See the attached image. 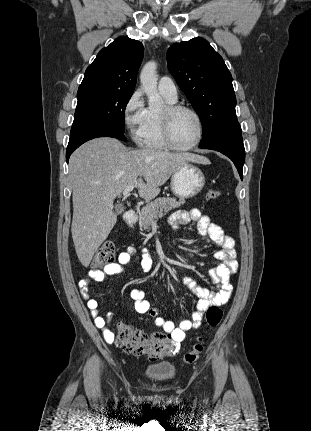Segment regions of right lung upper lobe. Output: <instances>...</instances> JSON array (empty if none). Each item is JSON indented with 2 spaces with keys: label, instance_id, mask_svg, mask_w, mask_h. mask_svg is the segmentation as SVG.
Returning <instances> with one entry per match:
<instances>
[{
  "label": "right lung upper lobe",
  "instance_id": "cb5924a9",
  "mask_svg": "<svg viewBox=\"0 0 311 431\" xmlns=\"http://www.w3.org/2000/svg\"><path fill=\"white\" fill-rule=\"evenodd\" d=\"M143 52L141 42L125 36L117 38L88 66L78 91L101 89L133 93Z\"/></svg>",
  "mask_w": 311,
  "mask_h": 431
}]
</instances>
